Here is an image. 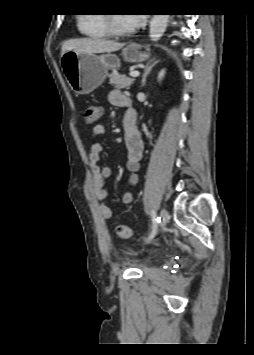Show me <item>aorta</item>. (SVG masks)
<instances>
[{"instance_id":"obj_1","label":"aorta","mask_w":254,"mask_h":355,"mask_svg":"<svg viewBox=\"0 0 254 355\" xmlns=\"http://www.w3.org/2000/svg\"><path fill=\"white\" fill-rule=\"evenodd\" d=\"M169 16L167 14H155L150 22L149 36L151 40L158 41L166 30Z\"/></svg>"}]
</instances>
